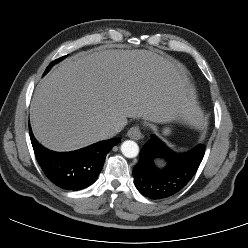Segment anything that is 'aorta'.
Returning a JSON list of instances; mask_svg holds the SVG:
<instances>
[{
    "label": "aorta",
    "instance_id": "obj_1",
    "mask_svg": "<svg viewBox=\"0 0 248 248\" xmlns=\"http://www.w3.org/2000/svg\"><path fill=\"white\" fill-rule=\"evenodd\" d=\"M121 152L127 158H134L139 153V146L135 141L126 140L121 145Z\"/></svg>",
    "mask_w": 248,
    "mask_h": 248
}]
</instances>
